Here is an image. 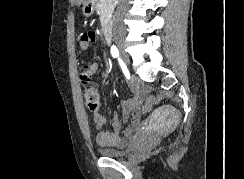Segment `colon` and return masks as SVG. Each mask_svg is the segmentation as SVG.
Wrapping results in <instances>:
<instances>
[{"instance_id":"5ec220e1","label":"colon","mask_w":244,"mask_h":179,"mask_svg":"<svg viewBox=\"0 0 244 179\" xmlns=\"http://www.w3.org/2000/svg\"><path fill=\"white\" fill-rule=\"evenodd\" d=\"M84 98L87 103V107L90 111L95 112L98 108L99 93L95 85H87L84 88ZM161 96H146V103L142 104V109H150L153 104H157L161 101ZM140 116H149V111H140Z\"/></svg>"}]
</instances>
